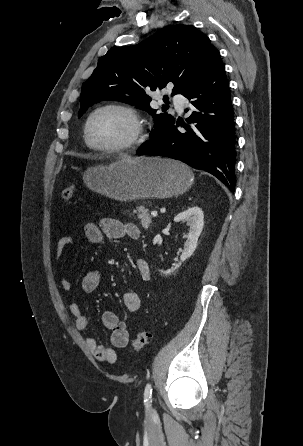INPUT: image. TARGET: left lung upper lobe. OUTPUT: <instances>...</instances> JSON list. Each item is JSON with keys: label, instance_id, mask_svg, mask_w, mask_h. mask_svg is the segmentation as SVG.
Returning a JSON list of instances; mask_svg holds the SVG:
<instances>
[{"label": "left lung upper lobe", "instance_id": "obj_1", "mask_svg": "<svg viewBox=\"0 0 303 446\" xmlns=\"http://www.w3.org/2000/svg\"><path fill=\"white\" fill-rule=\"evenodd\" d=\"M217 53L210 39L191 25L163 28L138 45L111 49L83 83L79 116L103 100L137 104L153 116V139L174 118L152 109L145 89H162L172 82L173 94H183L202 76Z\"/></svg>", "mask_w": 303, "mask_h": 446}]
</instances>
